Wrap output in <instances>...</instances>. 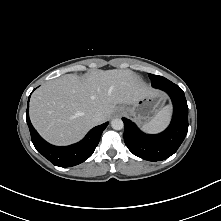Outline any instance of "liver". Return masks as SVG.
Listing matches in <instances>:
<instances>
[{
    "label": "liver",
    "mask_w": 221,
    "mask_h": 221,
    "mask_svg": "<svg viewBox=\"0 0 221 221\" xmlns=\"http://www.w3.org/2000/svg\"><path fill=\"white\" fill-rule=\"evenodd\" d=\"M152 93L131 70H93L82 77L68 74L33 93L30 119L44 139L68 145L107 121L117 104L132 105ZM97 112L102 114L99 123L93 119Z\"/></svg>",
    "instance_id": "1"
}]
</instances>
